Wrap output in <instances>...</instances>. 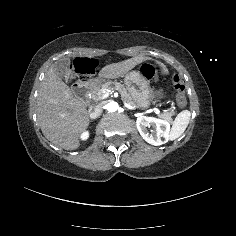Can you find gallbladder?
<instances>
[{
  "mask_svg": "<svg viewBox=\"0 0 236 236\" xmlns=\"http://www.w3.org/2000/svg\"><path fill=\"white\" fill-rule=\"evenodd\" d=\"M69 63L70 60L68 58H61L54 63L53 67L55 69V73L59 78H64L69 75Z\"/></svg>",
  "mask_w": 236,
  "mask_h": 236,
  "instance_id": "gallbladder-1",
  "label": "gallbladder"
}]
</instances>
